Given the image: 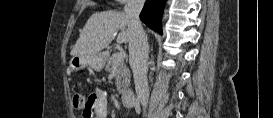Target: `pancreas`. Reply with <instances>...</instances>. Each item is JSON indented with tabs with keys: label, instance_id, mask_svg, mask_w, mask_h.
<instances>
[{
	"label": "pancreas",
	"instance_id": "obj_1",
	"mask_svg": "<svg viewBox=\"0 0 273 118\" xmlns=\"http://www.w3.org/2000/svg\"><path fill=\"white\" fill-rule=\"evenodd\" d=\"M105 69L108 72H115V84L117 87V91L120 94H125L126 92L130 91L129 87L131 74L127 65L124 62V59L119 58L117 56V53L112 54V56H110L107 61Z\"/></svg>",
	"mask_w": 273,
	"mask_h": 118
}]
</instances>
